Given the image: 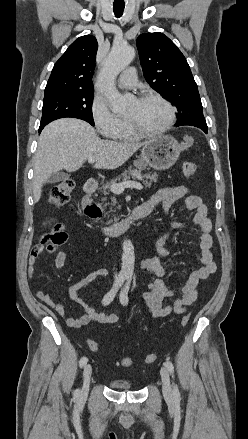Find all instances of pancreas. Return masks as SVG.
<instances>
[{
  "mask_svg": "<svg viewBox=\"0 0 248 439\" xmlns=\"http://www.w3.org/2000/svg\"><path fill=\"white\" fill-rule=\"evenodd\" d=\"M157 174L153 173V174H145L142 175L140 170L137 169H131L129 168L128 170H125L120 176H117L116 178L110 180L109 182H107L106 184H103L99 189L102 190L104 192V194H108V190L111 188V185L116 183L117 181H120V179H123L124 181L129 179L130 177H132L133 179H140L144 185L146 187H150L152 182H156L157 181ZM103 202L107 201V198H104L102 200ZM117 202L115 198H111V203H104V207L107 205H111L110 207V212H112V208H118L116 206ZM113 206V207H112ZM119 220V218H114V222H117ZM112 221L110 220L109 222L106 223V225L111 224Z\"/></svg>",
  "mask_w": 248,
  "mask_h": 439,
  "instance_id": "1",
  "label": "pancreas"
}]
</instances>
